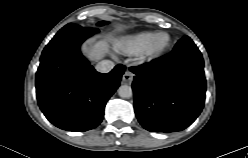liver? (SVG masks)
Segmentation results:
<instances>
[{
  "label": "liver",
  "instance_id": "liver-1",
  "mask_svg": "<svg viewBox=\"0 0 248 158\" xmlns=\"http://www.w3.org/2000/svg\"><path fill=\"white\" fill-rule=\"evenodd\" d=\"M107 51L108 42L106 40H100L94 45L84 46V52L91 60H98L102 58L107 53Z\"/></svg>",
  "mask_w": 248,
  "mask_h": 158
}]
</instances>
